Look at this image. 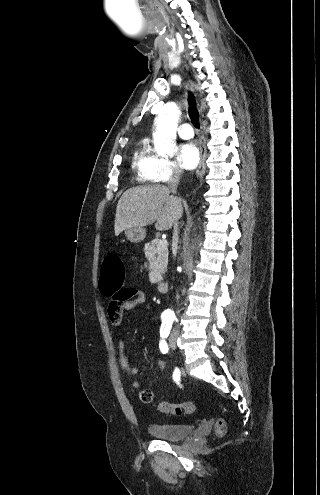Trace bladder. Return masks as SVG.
Segmentation results:
<instances>
[{
    "instance_id": "obj_1",
    "label": "bladder",
    "mask_w": 320,
    "mask_h": 495,
    "mask_svg": "<svg viewBox=\"0 0 320 495\" xmlns=\"http://www.w3.org/2000/svg\"><path fill=\"white\" fill-rule=\"evenodd\" d=\"M149 433L159 439L177 441L193 432V426L187 423H155L148 426Z\"/></svg>"
}]
</instances>
